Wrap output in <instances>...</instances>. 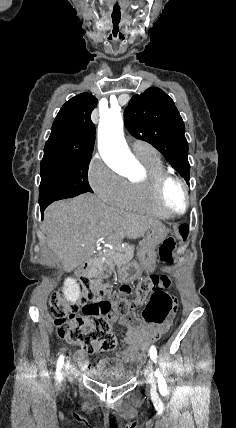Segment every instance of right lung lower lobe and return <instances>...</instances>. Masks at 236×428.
<instances>
[{
  "label": "right lung lower lobe",
  "mask_w": 236,
  "mask_h": 428,
  "mask_svg": "<svg viewBox=\"0 0 236 428\" xmlns=\"http://www.w3.org/2000/svg\"><path fill=\"white\" fill-rule=\"evenodd\" d=\"M49 204H50V203H45V204H43V205H40V209H41V216H42V218H43V212H44L45 208H46Z\"/></svg>",
  "instance_id": "1"
}]
</instances>
